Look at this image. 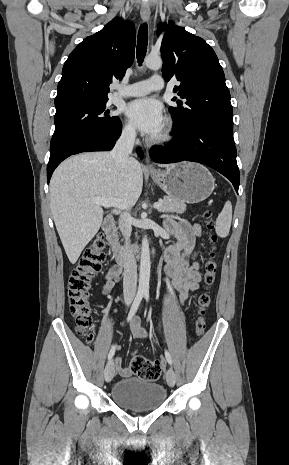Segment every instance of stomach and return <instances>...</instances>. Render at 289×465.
<instances>
[{
  "mask_svg": "<svg viewBox=\"0 0 289 465\" xmlns=\"http://www.w3.org/2000/svg\"><path fill=\"white\" fill-rule=\"evenodd\" d=\"M151 177L169 197L189 204L205 200L215 187L210 171L198 163L172 164L164 171L152 172Z\"/></svg>",
  "mask_w": 289,
  "mask_h": 465,
  "instance_id": "1",
  "label": "stomach"
}]
</instances>
